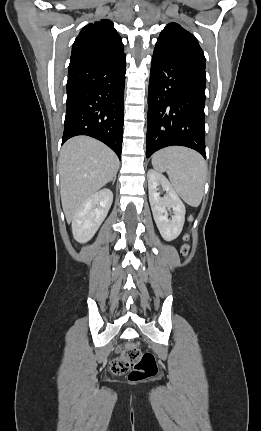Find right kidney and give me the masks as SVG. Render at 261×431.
I'll use <instances>...</instances> for the list:
<instances>
[{
	"label": "right kidney",
	"mask_w": 261,
	"mask_h": 431,
	"mask_svg": "<svg viewBox=\"0 0 261 431\" xmlns=\"http://www.w3.org/2000/svg\"><path fill=\"white\" fill-rule=\"evenodd\" d=\"M113 202L110 189L92 194L76 211L72 220V233L79 243L89 241L106 218Z\"/></svg>",
	"instance_id": "right-kidney-1"
}]
</instances>
